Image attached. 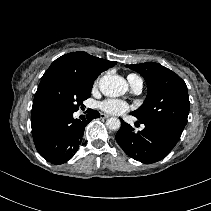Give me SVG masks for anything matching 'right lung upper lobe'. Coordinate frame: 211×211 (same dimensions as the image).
Segmentation results:
<instances>
[{"instance_id": "1", "label": "right lung upper lobe", "mask_w": 211, "mask_h": 211, "mask_svg": "<svg viewBox=\"0 0 211 211\" xmlns=\"http://www.w3.org/2000/svg\"><path fill=\"white\" fill-rule=\"evenodd\" d=\"M115 61H108L91 56L86 52H72L56 59L44 73L33 100L31 119L40 117L38 111V93L45 81L52 75H73L85 81H94L102 71L113 67Z\"/></svg>"}]
</instances>
